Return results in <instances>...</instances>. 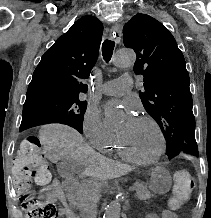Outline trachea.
I'll use <instances>...</instances> for the list:
<instances>
[{
	"label": "trachea",
	"mask_w": 211,
	"mask_h": 218,
	"mask_svg": "<svg viewBox=\"0 0 211 218\" xmlns=\"http://www.w3.org/2000/svg\"><path fill=\"white\" fill-rule=\"evenodd\" d=\"M115 42L113 40L106 39L102 44V55L106 62L111 60L113 55Z\"/></svg>",
	"instance_id": "obj_1"
}]
</instances>
